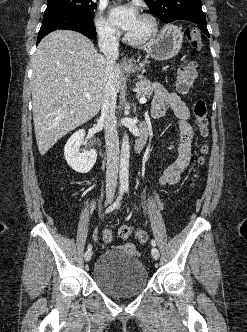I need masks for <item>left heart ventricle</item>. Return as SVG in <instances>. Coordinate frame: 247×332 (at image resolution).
Here are the masks:
<instances>
[{"label":"left heart ventricle","mask_w":247,"mask_h":332,"mask_svg":"<svg viewBox=\"0 0 247 332\" xmlns=\"http://www.w3.org/2000/svg\"><path fill=\"white\" fill-rule=\"evenodd\" d=\"M149 29V24L142 17H139L136 24L131 31L128 32V35L132 37H140L144 35Z\"/></svg>","instance_id":"left-heart-ventricle-1"}]
</instances>
